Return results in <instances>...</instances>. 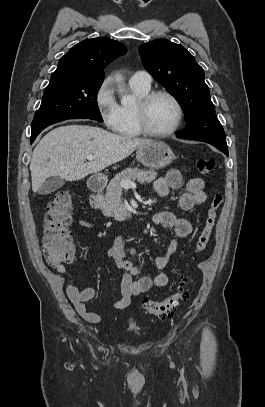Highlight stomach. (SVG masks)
Masks as SVG:
<instances>
[{"label":"stomach","mask_w":265,"mask_h":407,"mask_svg":"<svg viewBox=\"0 0 265 407\" xmlns=\"http://www.w3.org/2000/svg\"><path fill=\"white\" fill-rule=\"evenodd\" d=\"M136 158L145 167L159 169L171 164L175 155L167 144L159 141H151L137 149ZM95 178L99 181H103L105 176L98 174Z\"/></svg>","instance_id":"1"}]
</instances>
